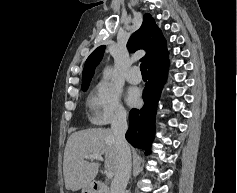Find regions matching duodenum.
<instances>
[{
  "mask_svg": "<svg viewBox=\"0 0 237 193\" xmlns=\"http://www.w3.org/2000/svg\"><path fill=\"white\" fill-rule=\"evenodd\" d=\"M93 192L94 193H109L107 185L101 181H97L93 184Z\"/></svg>",
  "mask_w": 237,
  "mask_h": 193,
  "instance_id": "obj_1",
  "label": "duodenum"
}]
</instances>
